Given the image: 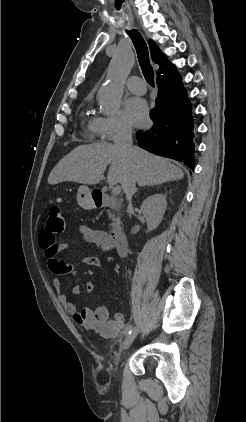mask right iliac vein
Returning <instances> with one entry per match:
<instances>
[{
	"mask_svg": "<svg viewBox=\"0 0 246 422\" xmlns=\"http://www.w3.org/2000/svg\"><path fill=\"white\" fill-rule=\"evenodd\" d=\"M138 327H134L131 331V333L126 337V339L124 340L123 344H122V350L126 351L130 345L133 343L134 339L136 338L137 334H138Z\"/></svg>",
	"mask_w": 246,
	"mask_h": 422,
	"instance_id": "right-iliac-vein-1",
	"label": "right iliac vein"
}]
</instances>
